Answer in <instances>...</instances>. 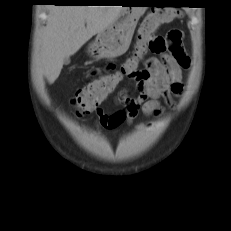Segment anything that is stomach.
Returning <instances> with one entry per match:
<instances>
[{
    "label": "stomach",
    "mask_w": 231,
    "mask_h": 231,
    "mask_svg": "<svg viewBox=\"0 0 231 231\" xmlns=\"http://www.w3.org/2000/svg\"><path fill=\"white\" fill-rule=\"evenodd\" d=\"M141 4L143 2L130 1ZM147 7H123L116 20L98 33L88 51L95 58H116L124 54L131 43L135 27Z\"/></svg>",
    "instance_id": "stomach-1"
}]
</instances>
